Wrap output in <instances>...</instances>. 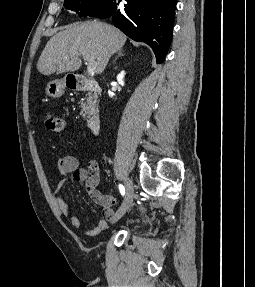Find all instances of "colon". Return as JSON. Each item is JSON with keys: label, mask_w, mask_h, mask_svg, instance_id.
Instances as JSON below:
<instances>
[{"label": "colon", "mask_w": 255, "mask_h": 287, "mask_svg": "<svg viewBox=\"0 0 255 287\" xmlns=\"http://www.w3.org/2000/svg\"><path fill=\"white\" fill-rule=\"evenodd\" d=\"M45 124L47 129L56 135H60L64 130L63 119L54 113L46 115Z\"/></svg>", "instance_id": "1"}]
</instances>
